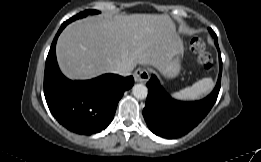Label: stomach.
<instances>
[{"instance_id":"obj_1","label":"stomach","mask_w":261,"mask_h":162,"mask_svg":"<svg viewBox=\"0 0 261 162\" xmlns=\"http://www.w3.org/2000/svg\"><path fill=\"white\" fill-rule=\"evenodd\" d=\"M184 47L181 40L177 42L171 57L158 68L159 72L166 78H175L181 70V60L183 58Z\"/></svg>"}]
</instances>
